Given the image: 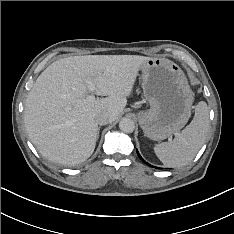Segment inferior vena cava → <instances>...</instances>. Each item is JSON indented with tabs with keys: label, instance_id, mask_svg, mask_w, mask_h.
<instances>
[{
	"label": "inferior vena cava",
	"instance_id": "inferior-vena-cava-1",
	"mask_svg": "<svg viewBox=\"0 0 234 234\" xmlns=\"http://www.w3.org/2000/svg\"><path fill=\"white\" fill-rule=\"evenodd\" d=\"M95 120L99 125H106L110 122V115L107 112H100L96 115Z\"/></svg>",
	"mask_w": 234,
	"mask_h": 234
}]
</instances>
